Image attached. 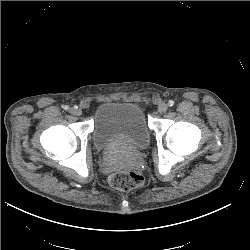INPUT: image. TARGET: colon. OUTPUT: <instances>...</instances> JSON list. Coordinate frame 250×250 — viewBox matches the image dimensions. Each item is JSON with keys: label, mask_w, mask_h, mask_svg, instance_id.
<instances>
[{"label": "colon", "mask_w": 250, "mask_h": 250, "mask_svg": "<svg viewBox=\"0 0 250 250\" xmlns=\"http://www.w3.org/2000/svg\"><path fill=\"white\" fill-rule=\"evenodd\" d=\"M143 176L136 171H120L110 175L109 185L119 191H129L143 184Z\"/></svg>", "instance_id": "5ec220e1"}]
</instances>
